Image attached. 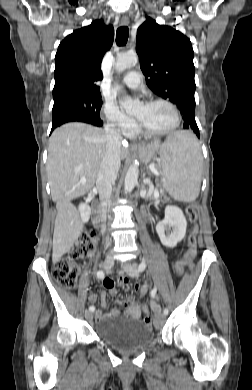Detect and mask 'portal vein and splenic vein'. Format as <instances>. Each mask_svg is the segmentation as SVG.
<instances>
[{
	"label": "portal vein and splenic vein",
	"mask_w": 252,
	"mask_h": 390,
	"mask_svg": "<svg viewBox=\"0 0 252 390\" xmlns=\"http://www.w3.org/2000/svg\"><path fill=\"white\" fill-rule=\"evenodd\" d=\"M149 169L151 170V172H153V173H155V174L158 173L157 170H156V168H155V164H154V163H152V164L149 165ZM80 182H81V183H85L86 181H85L84 179H82ZM145 182H148V181L145 180ZM150 188L153 189V186L150 185ZM154 196H155V198H158L159 193H158V192H154Z\"/></svg>",
	"instance_id": "1"
}]
</instances>
